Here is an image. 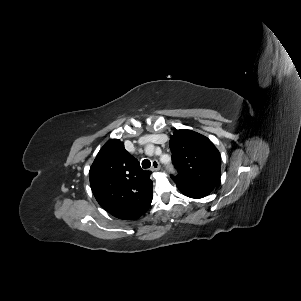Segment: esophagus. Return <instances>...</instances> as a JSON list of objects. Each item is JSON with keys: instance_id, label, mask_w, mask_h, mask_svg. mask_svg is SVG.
I'll list each match as a JSON object with an SVG mask.
<instances>
[{"instance_id": "1", "label": "esophagus", "mask_w": 301, "mask_h": 301, "mask_svg": "<svg viewBox=\"0 0 301 301\" xmlns=\"http://www.w3.org/2000/svg\"><path fill=\"white\" fill-rule=\"evenodd\" d=\"M151 170L152 171H159L160 170V164L157 160L152 161Z\"/></svg>"}]
</instances>
